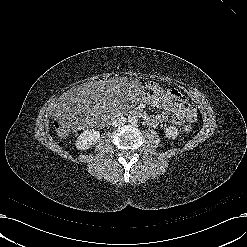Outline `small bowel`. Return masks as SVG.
<instances>
[{
	"instance_id": "c3829d8e",
	"label": "small bowel",
	"mask_w": 247,
	"mask_h": 247,
	"mask_svg": "<svg viewBox=\"0 0 247 247\" xmlns=\"http://www.w3.org/2000/svg\"><path fill=\"white\" fill-rule=\"evenodd\" d=\"M152 84L159 85L152 82L149 86ZM159 86L165 91L164 98L160 101H155L148 96L146 97V102L161 109L162 112L158 115H151L148 124L155 127L159 124L170 122L173 125L181 126L185 122H194L196 119V110L184 96L175 89Z\"/></svg>"
}]
</instances>
